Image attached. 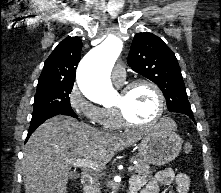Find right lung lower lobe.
Instances as JSON below:
<instances>
[{
  "label": "right lung lower lobe",
  "mask_w": 221,
  "mask_h": 193,
  "mask_svg": "<svg viewBox=\"0 0 221 193\" xmlns=\"http://www.w3.org/2000/svg\"><path fill=\"white\" fill-rule=\"evenodd\" d=\"M59 114L69 115V116H72L74 118L77 117V115L73 111H55V112L45 113V114H43L39 117H36V118H32L29 130H28V135H27L26 141L28 140L30 135L36 130V128L38 126H40L45 120H47L50 117L59 115Z\"/></svg>",
  "instance_id": "right-lung-lower-lobe-1"
}]
</instances>
